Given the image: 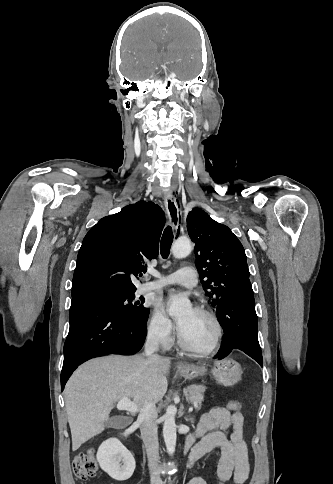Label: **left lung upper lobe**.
<instances>
[{"label": "left lung upper lobe", "mask_w": 333, "mask_h": 484, "mask_svg": "<svg viewBox=\"0 0 333 484\" xmlns=\"http://www.w3.org/2000/svg\"><path fill=\"white\" fill-rule=\"evenodd\" d=\"M187 229L196 244V266L202 287L213 307H217L229 288L249 280L244 248L227 226L214 221L200 208L189 212ZM229 297L236 302L237 298Z\"/></svg>", "instance_id": "obj_1"}]
</instances>
